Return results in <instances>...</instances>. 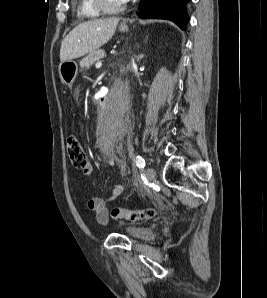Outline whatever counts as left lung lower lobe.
Wrapping results in <instances>:
<instances>
[{
    "label": "left lung lower lobe",
    "instance_id": "1",
    "mask_svg": "<svg viewBox=\"0 0 267 298\" xmlns=\"http://www.w3.org/2000/svg\"><path fill=\"white\" fill-rule=\"evenodd\" d=\"M189 0H141L137 15L142 18H162L176 22L185 29L189 17L186 13V3Z\"/></svg>",
    "mask_w": 267,
    "mask_h": 298
}]
</instances>
